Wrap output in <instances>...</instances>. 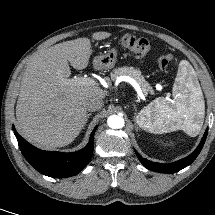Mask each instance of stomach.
<instances>
[{
	"label": "stomach",
	"mask_w": 215,
	"mask_h": 215,
	"mask_svg": "<svg viewBox=\"0 0 215 215\" xmlns=\"http://www.w3.org/2000/svg\"><path fill=\"white\" fill-rule=\"evenodd\" d=\"M116 61H117V50L113 48L108 50L105 54L95 57L93 60V63L95 68L97 69H111L115 66ZM137 124L144 130H146V127L144 124L139 122H137Z\"/></svg>",
	"instance_id": "stomach-1"
}]
</instances>
